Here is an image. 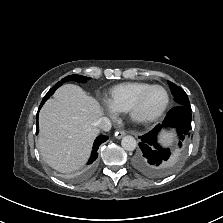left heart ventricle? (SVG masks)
<instances>
[{
	"mask_svg": "<svg viewBox=\"0 0 223 223\" xmlns=\"http://www.w3.org/2000/svg\"><path fill=\"white\" fill-rule=\"evenodd\" d=\"M166 101L165 92L162 89L152 90L145 98L140 110L142 116H152L158 113Z\"/></svg>",
	"mask_w": 223,
	"mask_h": 223,
	"instance_id": "b2bd125f",
	"label": "left heart ventricle"
}]
</instances>
